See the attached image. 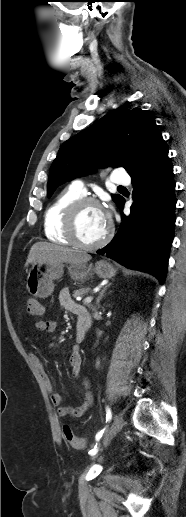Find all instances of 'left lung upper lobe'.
Here are the masks:
<instances>
[{
	"mask_svg": "<svg viewBox=\"0 0 186 517\" xmlns=\"http://www.w3.org/2000/svg\"><path fill=\"white\" fill-rule=\"evenodd\" d=\"M162 138L154 117L139 108L115 109L63 143L51 165L48 197L62 183L95 167H124L131 173ZM118 204L121 195H112Z\"/></svg>",
	"mask_w": 186,
	"mask_h": 517,
	"instance_id": "left-lung-upper-lobe-1",
	"label": "left lung upper lobe"
}]
</instances>
